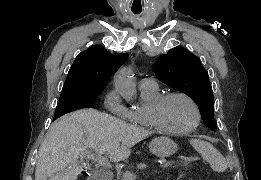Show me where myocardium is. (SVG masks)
<instances>
[{
  "mask_svg": "<svg viewBox=\"0 0 261 180\" xmlns=\"http://www.w3.org/2000/svg\"><path fill=\"white\" fill-rule=\"evenodd\" d=\"M172 98H181L187 101L194 110V121L192 125L186 129L185 131L179 133H168L161 130L160 126L153 120L148 119L147 116L149 114L154 113L161 106H164L170 99ZM202 119V113L198 103L188 94L184 92H168L165 94H161L153 103V105L149 107H145L138 112L137 123L139 127L150 137L153 136H162L166 138L172 139H180L187 137L191 133H193L199 126Z\"/></svg>",
  "mask_w": 261,
  "mask_h": 180,
  "instance_id": "1",
  "label": "myocardium"
}]
</instances>
